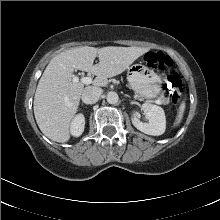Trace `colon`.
<instances>
[{
	"label": "colon",
	"instance_id": "colon-1",
	"mask_svg": "<svg viewBox=\"0 0 220 220\" xmlns=\"http://www.w3.org/2000/svg\"><path fill=\"white\" fill-rule=\"evenodd\" d=\"M146 65L153 69L166 70V85L169 90L171 101L176 104L183 95V84L177 72L171 70L172 59L158 51H149L144 56Z\"/></svg>",
	"mask_w": 220,
	"mask_h": 220
}]
</instances>
